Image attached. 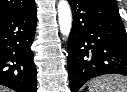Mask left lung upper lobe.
I'll use <instances>...</instances> for the list:
<instances>
[{
  "instance_id": "1",
  "label": "left lung upper lobe",
  "mask_w": 127,
  "mask_h": 92,
  "mask_svg": "<svg viewBox=\"0 0 127 92\" xmlns=\"http://www.w3.org/2000/svg\"><path fill=\"white\" fill-rule=\"evenodd\" d=\"M90 1L105 4V5H109V6H113V7H117V4H116L115 0H90Z\"/></svg>"
}]
</instances>
